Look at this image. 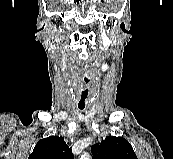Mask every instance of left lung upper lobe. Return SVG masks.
<instances>
[{"mask_svg": "<svg viewBox=\"0 0 173 159\" xmlns=\"http://www.w3.org/2000/svg\"><path fill=\"white\" fill-rule=\"evenodd\" d=\"M93 159H137L131 144L122 137L107 136L91 147Z\"/></svg>", "mask_w": 173, "mask_h": 159, "instance_id": "obj_1", "label": "left lung upper lobe"}]
</instances>
